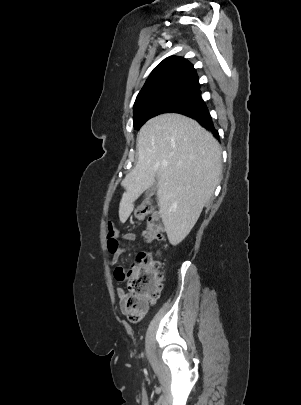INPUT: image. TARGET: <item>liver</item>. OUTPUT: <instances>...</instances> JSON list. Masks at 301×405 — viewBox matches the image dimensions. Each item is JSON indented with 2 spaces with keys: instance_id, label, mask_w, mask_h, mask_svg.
<instances>
[{
  "instance_id": "obj_1",
  "label": "liver",
  "mask_w": 301,
  "mask_h": 405,
  "mask_svg": "<svg viewBox=\"0 0 301 405\" xmlns=\"http://www.w3.org/2000/svg\"><path fill=\"white\" fill-rule=\"evenodd\" d=\"M137 150V164L122 181L120 221L127 220L134 201L157 179L160 217L169 242L177 245L190 233L220 182L219 143L197 121L163 114L142 126Z\"/></svg>"
}]
</instances>
